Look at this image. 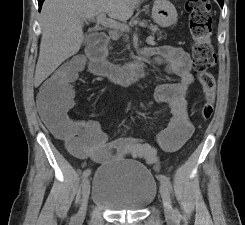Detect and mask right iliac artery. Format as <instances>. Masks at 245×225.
<instances>
[{
  "mask_svg": "<svg viewBox=\"0 0 245 225\" xmlns=\"http://www.w3.org/2000/svg\"><path fill=\"white\" fill-rule=\"evenodd\" d=\"M90 174H91V170H90V169H86V170L83 172L82 177L85 179V178H87Z\"/></svg>",
  "mask_w": 245,
  "mask_h": 225,
  "instance_id": "82829eb1",
  "label": "right iliac artery"
}]
</instances>
